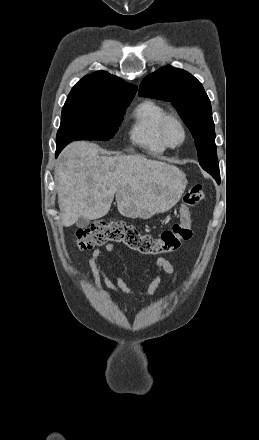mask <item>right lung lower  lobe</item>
Instances as JSON below:
<instances>
[{
  "instance_id": "obj_1",
  "label": "right lung lower lobe",
  "mask_w": 259,
  "mask_h": 440,
  "mask_svg": "<svg viewBox=\"0 0 259 440\" xmlns=\"http://www.w3.org/2000/svg\"><path fill=\"white\" fill-rule=\"evenodd\" d=\"M64 148V146L62 145H57V150H56V157L58 156L59 152Z\"/></svg>"
}]
</instances>
